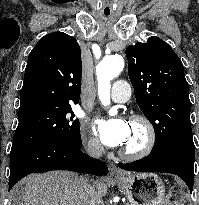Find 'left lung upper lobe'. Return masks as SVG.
<instances>
[{"label":"left lung upper lobe","instance_id":"1","mask_svg":"<svg viewBox=\"0 0 199 205\" xmlns=\"http://www.w3.org/2000/svg\"><path fill=\"white\" fill-rule=\"evenodd\" d=\"M128 75L136 102L154 127L151 153L178 142H193L189 87L181 60L158 37L126 48Z\"/></svg>","mask_w":199,"mask_h":205}]
</instances>
